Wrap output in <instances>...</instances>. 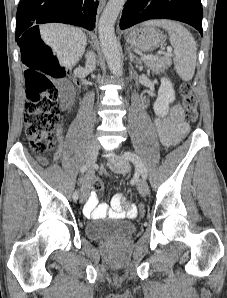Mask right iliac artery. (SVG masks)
I'll list each match as a JSON object with an SVG mask.
<instances>
[{
	"label": "right iliac artery",
	"mask_w": 227,
	"mask_h": 298,
	"mask_svg": "<svg viewBox=\"0 0 227 298\" xmlns=\"http://www.w3.org/2000/svg\"><path fill=\"white\" fill-rule=\"evenodd\" d=\"M86 170H87V165H83V166L81 167V169H80V172H81V173H85ZM73 199H74V200H77V199H78V192H77V191L74 192V194H73Z\"/></svg>",
	"instance_id": "obj_1"
}]
</instances>
